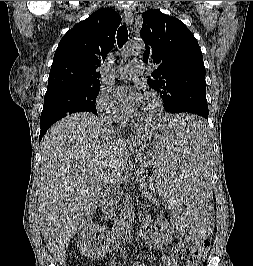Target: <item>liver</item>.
Returning <instances> with one entry per match:
<instances>
[{
  "mask_svg": "<svg viewBox=\"0 0 253 266\" xmlns=\"http://www.w3.org/2000/svg\"><path fill=\"white\" fill-rule=\"evenodd\" d=\"M146 138L115 137L88 113L67 116L49 129L41 142L38 211L41 233L56 261H64L71 238L91 220L100 187L120 180L127 148L132 151Z\"/></svg>",
  "mask_w": 253,
  "mask_h": 266,
  "instance_id": "obj_1",
  "label": "liver"
}]
</instances>
